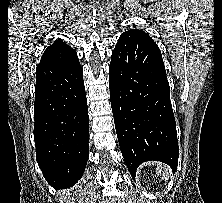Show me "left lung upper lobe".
Instances as JSON below:
<instances>
[{
    "mask_svg": "<svg viewBox=\"0 0 222 203\" xmlns=\"http://www.w3.org/2000/svg\"><path fill=\"white\" fill-rule=\"evenodd\" d=\"M134 32H141V33H143V34H145L146 36H148L152 41H153V39L147 34V33H145L144 31H142V30H128V31H126V32H124L123 34H126V33H134Z\"/></svg>",
    "mask_w": 222,
    "mask_h": 203,
    "instance_id": "5c2ea615",
    "label": "left lung upper lobe"
}]
</instances>
